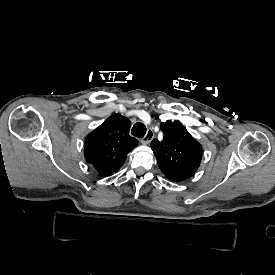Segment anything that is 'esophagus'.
Masks as SVG:
<instances>
[{"label": "esophagus", "instance_id": "1", "mask_svg": "<svg viewBox=\"0 0 275 275\" xmlns=\"http://www.w3.org/2000/svg\"><path fill=\"white\" fill-rule=\"evenodd\" d=\"M154 138V131L152 128H149L145 134V136L142 138L141 143L143 145L149 144Z\"/></svg>", "mask_w": 275, "mask_h": 275}]
</instances>
